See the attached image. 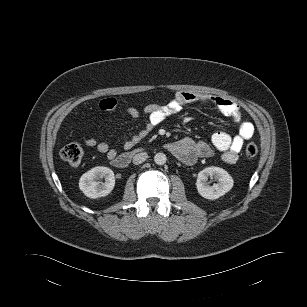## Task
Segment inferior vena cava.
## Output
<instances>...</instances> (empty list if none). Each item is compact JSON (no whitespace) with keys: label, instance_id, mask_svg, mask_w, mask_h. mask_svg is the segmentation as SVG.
Wrapping results in <instances>:
<instances>
[{"label":"inferior vena cava","instance_id":"inferior-vena-cava-1","mask_svg":"<svg viewBox=\"0 0 307 307\" xmlns=\"http://www.w3.org/2000/svg\"><path fill=\"white\" fill-rule=\"evenodd\" d=\"M147 157L148 155L146 152L138 153L133 157V163L136 165L141 164L147 159Z\"/></svg>","mask_w":307,"mask_h":307}]
</instances>
